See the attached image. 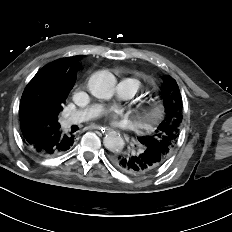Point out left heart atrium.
Here are the masks:
<instances>
[{
  "label": "left heart atrium",
  "instance_id": "left-heart-atrium-1",
  "mask_svg": "<svg viewBox=\"0 0 232 232\" xmlns=\"http://www.w3.org/2000/svg\"><path fill=\"white\" fill-rule=\"evenodd\" d=\"M114 117H115L114 115H110L109 119L112 120V119H114Z\"/></svg>",
  "mask_w": 232,
  "mask_h": 232
}]
</instances>
